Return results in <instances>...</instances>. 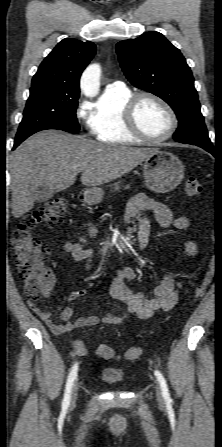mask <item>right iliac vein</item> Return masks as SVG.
I'll list each match as a JSON object with an SVG mask.
<instances>
[{
    "label": "right iliac vein",
    "mask_w": 222,
    "mask_h": 447,
    "mask_svg": "<svg viewBox=\"0 0 222 447\" xmlns=\"http://www.w3.org/2000/svg\"><path fill=\"white\" fill-rule=\"evenodd\" d=\"M78 396V384L74 383L72 390H71V406H74L77 400Z\"/></svg>",
    "instance_id": "63e3f726"
}]
</instances>
